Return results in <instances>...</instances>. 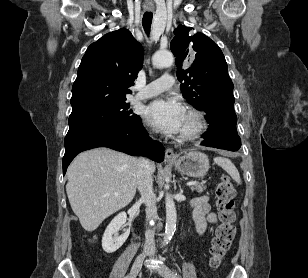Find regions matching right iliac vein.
<instances>
[{"label":"right iliac vein","mask_w":308,"mask_h":278,"mask_svg":"<svg viewBox=\"0 0 308 278\" xmlns=\"http://www.w3.org/2000/svg\"><path fill=\"white\" fill-rule=\"evenodd\" d=\"M146 255L147 253H142L135 259L130 271V278H136L137 274L139 273L142 267Z\"/></svg>","instance_id":"1"}]
</instances>
